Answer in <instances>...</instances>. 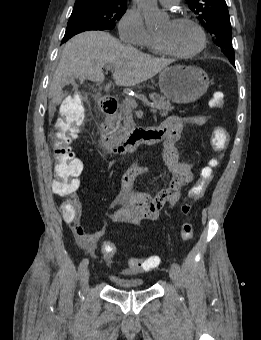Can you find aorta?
Instances as JSON below:
<instances>
[{
  "label": "aorta",
  "mask_w": 261,
  "mask_h": 340,
  "mask_svg": "<svg viewBox=\"0 0 261 340\" xmlns=\"http://www.w3.org/2000/svg\"><path fill=\"white\" fill-rule=\"evenodd\" d=\"M138 7L142 12L148 28L159 26L166 16L159 10L157 0H138Z\"/></svg>",
  "instance_id": "aorta-1"
}]
</instances>
